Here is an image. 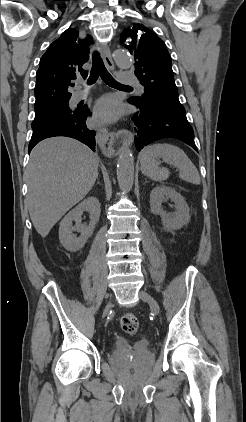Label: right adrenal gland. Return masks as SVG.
Wrapping results in <instances>:
<instances>
[{
  "instance_id": "right-adrenal-gland-1",
  "label": "right adrenal gland",
  "mask_w": 246,
  "mask_h": 422,
  "mask_svg": "<svg viewBox=\"0 0 246 422\" xmlns=\"http://www.w3.org/2000/svg\"><path fill=\"white\" fill-rule=\"evenodd\" d=\"M97 184H100L99 180L97 181Z\"/></svg>"
}]
</instances>
